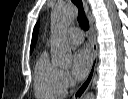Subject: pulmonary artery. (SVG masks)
Wrapping results in <instances>:
<instances>
[{
  "mask_svg": "<svg viewBox=\"0 0 128 99\" xmlns=\"http://www.w3.org/2000/svg\"><path fill=\"white\" fill-rule=\"evenodd\" d=\"M67 37L74 44H80L84 41V35L78 28H70L67 32Z\"/></svg>",
  "mask_w": 128,
  "mask_h": 99,
  "instance_id": "1",
  "label": "pulmonary artery"
}]
</instances>
